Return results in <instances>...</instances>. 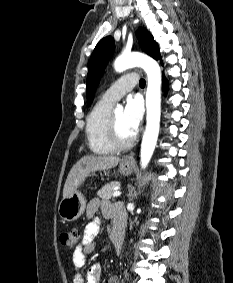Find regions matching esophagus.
I'll return each instance as SVG.
<instances>
[{
    "mask_svg": "<svg viewBox=\"0 0 233 283\" xmlns=\"http://www.w3.org/2000/svg\"><path fill=\"white\" fill-rule=\"evenodd\" d=\"M134 161V159H133V157L130 155V156H126L125 158H124V162H127V163H131V162H133Z\"/></svg>",
    "mask_w": 233,
    "mask_h": 283,
    "instance_id": "esophagus-1",
    "label": "esophagus"
}]
</instances>
